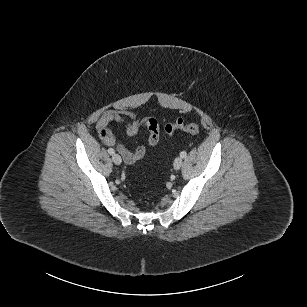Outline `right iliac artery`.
I'll use <instances>...</instances> for the list:
<instances>
[{
    "mask_svg": "<svg viewBox=\"0 0 307 307\" xmlns=\"http://www.w3.org/2000/svg\"><path fill=\"white\" fill-rule=\"evenodd\" d=\"M108 153L111 154V155H113V154L115 153V151H114L113 148H109V149H108Z\"/></svg>",
    "mask_w": 307,
    "mask_h": 307,
    "instance_id": "82829eb1",
    "label": "right iliac artery"
}]
</instances>
